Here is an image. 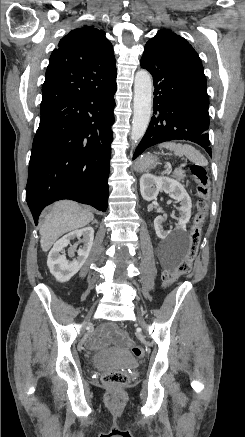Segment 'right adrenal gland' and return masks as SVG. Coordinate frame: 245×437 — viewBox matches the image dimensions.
<instances>
[{
  "label": "right adrenal gland",
  "instance_id": "2a0ac1e0",
  "mask_svg": "<svg viewBox=\"0 0 245 437\" xmlns=\"http://www.w3.org/2000/svg\"><path fill=\"white\" fill-rule=\"evenodd\" d=\"M94 223H97V224H98V222H97L96 220L94 221Z\"/></svg>",
  "mask_w": 245,
  "mask_h": 437
}]
</instances>
